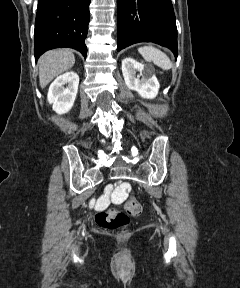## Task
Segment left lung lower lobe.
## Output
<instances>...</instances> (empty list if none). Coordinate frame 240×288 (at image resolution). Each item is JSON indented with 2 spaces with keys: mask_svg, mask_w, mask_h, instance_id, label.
<instances>
[{
  "mask_svg": "<svg viewBox=\"0 0 240 288\" xmlns=\"http://www.w3.org/2000/svg\"><path fill=\"white\" fill-rule=\"evenodd\" d=\"M117 51L153 42L178 56L177 28L171 0H117Z\"/></svg>",
  "mask_w": 240,
  "mask_h": 288,
  "instance_id": "1",
  "label": "left lung lower lobe"
}]
</instances>
